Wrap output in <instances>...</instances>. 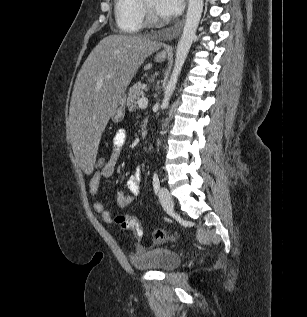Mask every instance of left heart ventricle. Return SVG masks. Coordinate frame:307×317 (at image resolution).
I'll return each mask as SVG.
<instances>
[{"instance_id":"b2bd125f","label":"left heart ventricle","mask_w":307,"mask_h":317,"mask_svg":"<svg viewBox=\"0 0 307 317\" xmlns=\"http://www.w3.org/2000/svg\"><path fill=\"white\" fill-rule=\"evenodd\" d=\"M146 3L153 9L154 13L159 17V14L156 12L155 9L156 0H146Z\"/></svg>"}]
</instances>
